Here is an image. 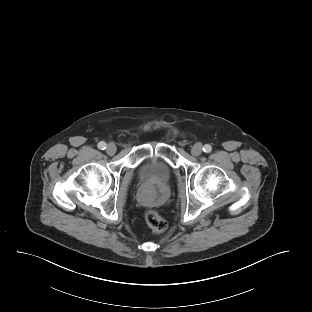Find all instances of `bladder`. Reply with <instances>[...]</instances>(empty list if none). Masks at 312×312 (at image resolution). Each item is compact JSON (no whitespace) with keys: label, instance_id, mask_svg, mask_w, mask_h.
<instances>
[{"label":"bladder","instance_id":"obj_1","mask_svg":"<svg viewBox=\"0 0 312 312\" xmlns=\"http://www.w3.org/2000/svg\"><path fill=\"white\" fill-rule=\"evenodd\" d=\"M172 176L171 167L159 158L145 161L138 170V178L142 182L166 184Z\"/></svg>","mask_w":312,"mask_h":312}]
</instances>
